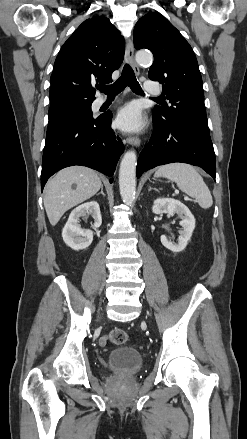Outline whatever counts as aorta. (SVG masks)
Returning <instances> with one entry per match:
<instances>
[{"label":"aorta","mask_w":247,"mask_h":439,"mask_svg":"<svg viewBox=\"0 0 247 439\" xmlns=\"http://www.w3.org/2000/svg\"><path fill=\"white\" fill-rule=\"evenodd\" d=\"M136 62L139 65H146L153 61L150 53L138 52L136 54ZM136 164L137 157L133 150L127 151L120 163L119 169V188L120 195L124 204L131 206L135 200L136 190Z\"/></svg>","instance_id":"762f6f07"}]
</instances>
